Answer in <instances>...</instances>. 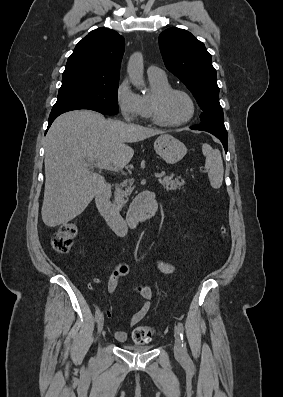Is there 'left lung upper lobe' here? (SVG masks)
<instances>
[{"label":"left lung upper lobe","instance_id":"left-lung-upper-lobe-1","mask_svg":"<svg viewBox=\"0 0 283 397\" xmlns=\"http://www.w3.org/2000/svg\"><path fill=\"white\" fill-rule=\"evenodd\" d=\"M159 47L166 68L177 76L196 98L203 124L225 128L219 103V87L212 56L190 32L169 28L159 36Z\"/></svg>","mask_w":283,"mask_h":397}]
</instances>
